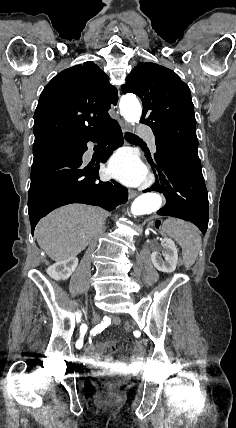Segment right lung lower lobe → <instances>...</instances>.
<instances>
[{"label": "right lung lower lobe", "mask_w": 236, "mask_h": 428, "mask_svg": "<svg viewBox=\"0 0 236 428\" xmlns=\"http://www.w3.org/2000/svg\"><path fill=\"white\" fill-rule=\"evenodd\" d=\"M60 140L67 143L66 152L58 150L33 160L28 195L32 234L38 221L60 206L84 203L111 211L128 199L127 189L119 183L98 181V164L82 165V155L89 141L103 145L100 154L103 162L113 150L122 146L123 136L117 121L112 119L86 135Z\"/></svg>", "instance_id": "right-lung-lower-lobe-1"}]
</instances>
